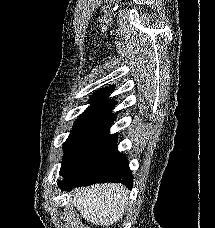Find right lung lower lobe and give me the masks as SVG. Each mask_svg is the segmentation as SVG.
<instances>
[{"label":"right lung lower lobe","mask_w":215,"mask_h":228,"mask_svg":"<svg viewBox=\"0 0 215 228\" xmlns=\"http://www.w3.org/2000/svg\"><path fill=\"white\" fill-rule=\"evenodd\" d=\"M104 182L122 183L132 188L133 176L126 156L117 150V139L67 175L59 187L70 191L74 187Z\"/></svg>","instance_id":"1"}]
</instances>
